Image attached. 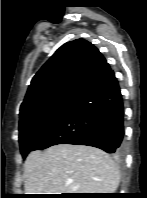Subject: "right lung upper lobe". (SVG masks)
Listing matches in <instances>:
<instances>
[{"instance_id":"obj_1","label":"right lung upper lobe","mask_w":147,"mask_h":198,"mask_svg":"<svg viewBox=\"0 0 147 198\" xmlns=\"http://www.w3.org/2000/svg\"><path fill=\"white\" fill-rule=\"evenodd\" d=\"M109 71V64L90 42L77 39L65 43L33 77L20 117L47 103L77 101Z\"/></svg>"}]
</instances>
